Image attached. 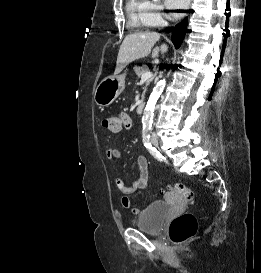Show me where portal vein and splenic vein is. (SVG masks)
<instances>
[{
  "instance_id": "1",
  "label": "portal vein and splenic vein",
  "mask_w": 261,
  "mask_h": 273,
  "mask_svg": "<svg viewBox=\"0 0 261 273\" xmlns=\"http://www.w3.org/2000/svg\"><path fill=\"white\" fill-rule=\"evenodd\" d=\"M151 77H152V73L148 71V72L142 74L141 80H148V79H150Z\"/></svg>"
}]
</instances>
